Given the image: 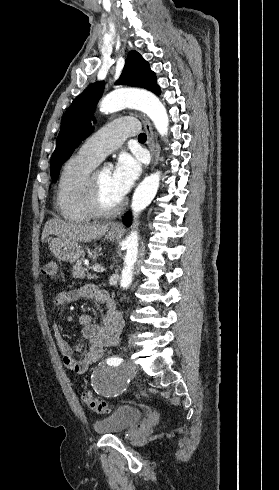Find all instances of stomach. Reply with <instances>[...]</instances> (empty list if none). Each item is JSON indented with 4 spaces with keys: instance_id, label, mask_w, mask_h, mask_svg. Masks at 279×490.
Segmentation results:
<instances>
[{
    "instance_id": "1",
    "label": "stomach",
    "mask_w": 279,
    "mask_h": 490,
    "mask_svg": "<svg viewBox=\"0 0 279 490\" xmlns=\"http://www.w3.org/2000/svg\"><path fill=\"white\" fill-rule=\"evenodd\" d=\"M121 232H107V238L110 242L117 240ZM49 250L52 256H55L57 260H62V262H78L80 258L85 256L84 250H81V246L77 242H72V240H63V238H53L49 244Z\"/></svg>"
}]
</instances>
